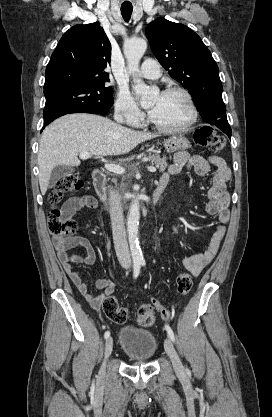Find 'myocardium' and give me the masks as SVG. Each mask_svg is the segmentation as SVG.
Masks as SVG:
<instances>
[{
  "mask_svg": "<svg viewBox=\"0 0 272 417\" xmlns=\"http://www.w3.org/2000/svg\"><path fill=\"white\" fill-rule=\"evenodd\" d=\"M181 95L187 102L190 109V118L182 126L179 127H165L156 123L151 116L148 117V122L158 131L166 134H179L190 130L198 119V108L192 97V95L184 88L181 87H170L162 91L161 95Z\"/></svg>",
  "mask_w": 272,
  "mask_h": 417,
  "instance_id": "myocardium-1",
  "label": "myocardium"
}]
</instances>
